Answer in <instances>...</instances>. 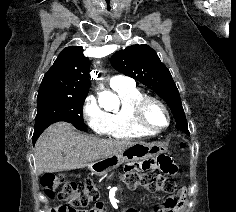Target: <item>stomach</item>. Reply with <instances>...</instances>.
Here are the masks:
<instances>
[{
    "label": "stomach",
    "mask_w": 236,
    "mask_h": 212,
    "mask_svg": "<svg viewBox=\"0 0 236 212\" xmlns=\"http://www.w3.org/2000/svg\"><path fill=\"white\" fill-rule=\"evenodd\" d=\"M165 149L157 143H136L121 153L109 156L105 159L97 161L90 166L92 174L103 175L112 169H116L122 163L133 161H144L153 158L161 153Z\"/></svg>",
    "instance_id": "1"
}]
</instances>
